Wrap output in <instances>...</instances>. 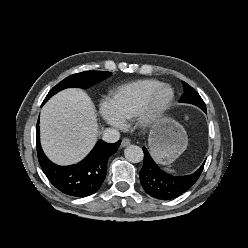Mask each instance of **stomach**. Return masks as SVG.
<instances>
[{"mask_svg":"<svg viewBox=\"0 0 248 248\" xmlns=\"http://www.w3.org/2000/svg\"><path fill=\"white\" fill-rule=\"evenodd\" d=\"M148 144L155 160L162 165H169L186 150L188 136L182 125L173 119L164 118L152 127Z\"/></svg>","mask_w":248,"mask_h":248,"instance_id":"0dacf381","label":"stomach"}]
</instances>
